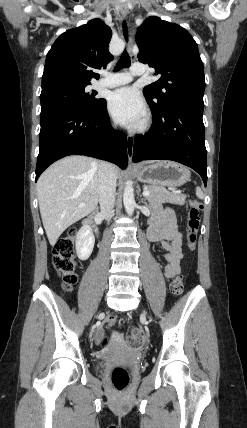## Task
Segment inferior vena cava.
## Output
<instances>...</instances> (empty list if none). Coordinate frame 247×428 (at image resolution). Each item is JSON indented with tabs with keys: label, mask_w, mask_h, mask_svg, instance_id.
I'll return each instance as SVG.
<instances>
[{
	"label": "inferior vena cava",
	"mask_w": 247,
	"mask_h": 428,
	"mask_svg": "<svg viewBox=\"0 0 247 428\" xmlns=\"http://www.w3.org/2000/svg\"><path fill=\"white\" fill-rule=\"evenodd\" d=\"M98 181L101 214L109 221L114 212L116 191V177L112 164L105 161L100 162Z\"/></svg>",
	"instance_id": "602c4592"
}]
</instances>
